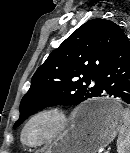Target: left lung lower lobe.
I'll return each instance as SVG.
<instances>
[{
    "mask_svg": "<svg viewBox=\"0 0 130 153\" xmlns=\"http://www.w3.org/2000/svg\"><path fill=\"white\" fill-rule=\"evenodd\" d=\"M99 95L114 96L130 104V42L122 33L106 60L99 77ZM92 109H86L79 118L87 119L94 115Z\"/></svg>",
    "mask_w": 130,
    "mask_h": 153,
    "instance_id": "obj_1",
    "label": "left lung lower lobe"
}]
</instances>
